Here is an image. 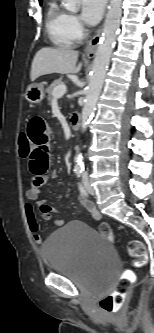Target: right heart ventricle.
I'll use <instances>...</instances> for the list:
<instances>
[{"label": "right heart ventricle", "instance_id": "1", "mask_svg": "<svg viewBox=\"0 0 154 333\" xmlns=\"http://www.w3.org/2000/svg\"><path fill=\"white\" fill-rule=\"evenodd\" d=\"M68 19L69 14L57 1H53L47 11L46 29L50 40L57 47H71L77 41L69 29Z\"/></svg>", "mask_w": 154, "mask_h": 333}]
</instances>
